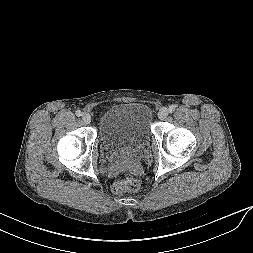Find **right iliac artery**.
I'll list each match as a JSON object with an SVG mask.
<instances>
[{"label": "right iliac artery", "instance_id": "obj_1", "mask_svg": "<svg viewBox=\"0 0 253 253\" xmlns=\"http://www.w3.org/2000/svg\"><path fill=\"white\" fill-rule=\"evenodd\" d=\"M75 114H76V116H78V117L82 116V112H81L80 110H77Z\"/></svg>", "mask_w": 253, "mask_h": 253}]
</instances>
